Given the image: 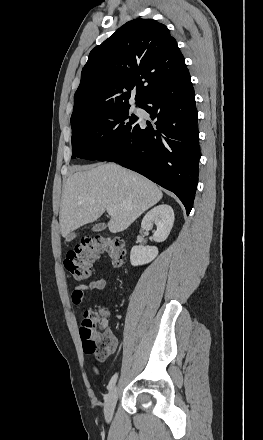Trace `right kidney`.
Listing matches in <instances>:
<instances>
[{
    "label": "right kidney",
    "mask_w": 263,
    "mask_h": 440,
    "mask_svg": "<svg viewBox=\"0 0 263 440\" xmlns=\"http://www.w3.org/2000/svg\"><path fill=\"white\" fill-rule=\"evenodd\" d=\"M157 230L153 233L155 242H163L167 239L174 223V211L171 206L161 204L151 209L142 219L141 231H148L153 224ZM158 255L156 246H133L130 253L132 266L144 265L151 262Z\"/></svg>",
    "instance_id": "1"
}]
</instances>
